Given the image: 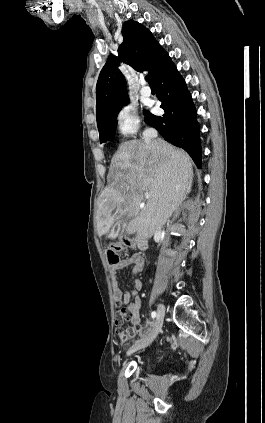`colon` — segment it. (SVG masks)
<instances>
[{
	"mask_svg": "<svg viewBox=\"0 0 265 423\" xmlns=\"http://www.w3.org/2000/svg\"><path fill=\"white\" fill-rule=\"evenodd\" d=\"M132 241L126 237L121 236L115 238L110 246L105 251L106 261L109 265H116L120 262V252L123 251L127 247H132ZM129 314L123 309L120 313L119 318L116 320L117 332L119 336H124L125 332L121 328L122 323L128 318Z\"/></svg>",
	"mask_w": 265,
	"mask_h": 423,
	"instance_id": "obj_1",
	"label": "colon"
}]
</instances>
